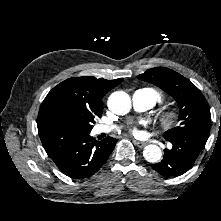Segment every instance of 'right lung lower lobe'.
<instances>
[{
    "mask_svg": "<svg viewBox=\"0 0 221 221\" xmlns=\"http://www.w3.org/2000/svg\"><path fill=\"white\" fill-rule=\"evenodd\" d=\"M38 132L48 156L61 172L73 179H85L95 174L117 142L112 137L96 141L89 133L61 125H40Z\"/></svg>",
    "mask_w": 221,
    "mask_h": 221,
    "instance_id": "98d812e1",
    "label": "right lung lower lobe"
}]
</instances>
